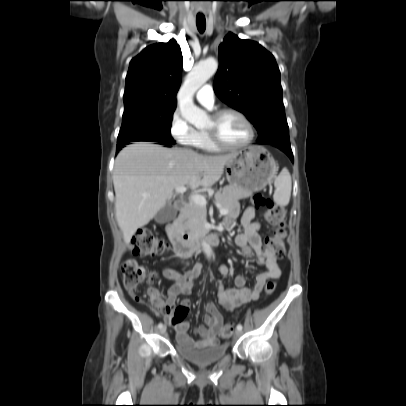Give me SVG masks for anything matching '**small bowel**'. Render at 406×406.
I'll return each instance as SVG.
<instances>
[{"instance_id":"c3829d8e","label":"small bowel","mask_w":406,"mask_h":406,"mask_svg":"<svg viewBox=\"0 0 406 406\" xmlns=\"http://www.w3.org/2000/svg\"><path fill=\"white\" fill-rule=\"evenodd\" d=\"M239 214L237 205H232L228 210L224 224L230 225ZM255 209L248 207L241 217L242 232L235 236V245L240 249L241 253L248 257H254L256 262L264 267V270L256 276V282L253 288L247 286L246 278L239 275L235 278V287H225L221 280L218 281V299L220 305L227 311L242 306L246 302L256 301L259 299L265 285L281 275V270L277 264L274 252L265 246L263 237L259 233L260 223L254 221ZM201 270L199 264L189 267L185 274H181L173 268H167L163 274L166 278L173 280V286L168 290L166 300H163L158 291L150 290L149 297L153 308L158 310L164 316V320L172 325L175 330L176 339L178 342L187 346H211L217 345V335L224 323V316L218 311L214 303L206 304V315L204 322L206 326L196 328V333L201 339L193 340L188 334L189 322L183 319L182 321L173 323L172 318L174 313L171 309L176 303L177 296L180 294L190 295L194 287L195 278ZM230 274V270L226 264L219 268V275L226 277ZM180 307L187 310L190 307V301L185 299Z\"/></svg>"}]
</instances>
